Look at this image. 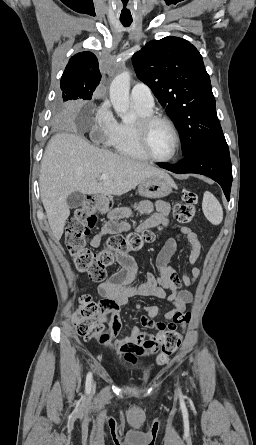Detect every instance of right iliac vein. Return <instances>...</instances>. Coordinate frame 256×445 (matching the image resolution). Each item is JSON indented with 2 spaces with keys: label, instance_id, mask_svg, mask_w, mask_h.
I'll return each mask as SVG.
<instances>
[{
  "label": "right iliac vein",
  "instance_id": "1",
  "mask_svg": "<svg viewBox=\"0 0 256 445\" xmlns=\"http://www.w3.org/2000/svg\"><path fill=\"white\" fill-rule=\"evenodd\" d=\"M95 390V382H92V384H91V391H94Z\"/></svg>",
  "mask_w": 256,
  "mask_h": 445
}]
</instances>
